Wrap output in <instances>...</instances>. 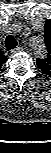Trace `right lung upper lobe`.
Returning <instances> with one entry per match:
<instances>
[{
	"label": "right lung upper lobe",
	"instance_id": "1",
	"mask_svg": "<svg viewBox=\"0 0 51 153\" xmlns=\"http://www.w3.org/2000/svg\"><path fill=\"white\" fill-rule=\"evenodd\" d=\"M6 60L7 58L0 52V68L2 64L5 63Z\"/></svg>",
	"mask_w": 51,
	"mask_h": 153
}]
</instances>
